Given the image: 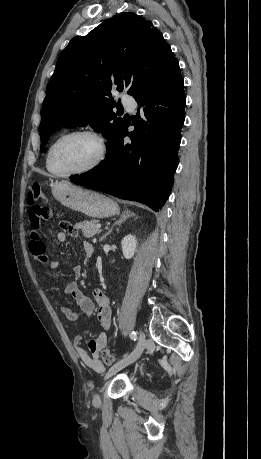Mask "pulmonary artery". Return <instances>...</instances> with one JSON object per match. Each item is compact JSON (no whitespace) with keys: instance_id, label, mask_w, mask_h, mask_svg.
I'll return each instance as SVG.
<instances>
[{"instance_id":"obj_1","label":"pulmonary artery","mask_w":261,"mask_h":459,"mask_svg":"<svg viewBox=\"0 0 261 459\" xmlns=\"http://www.w3.org/2000/svg\"><path fill=\"white\" fill-rule=\"evenodd\" d=\"M124 107L129 110V111H133L134 108L136 107V102L134 99L132 98H124L123 101H122Z\"/></svg>"}]
</instances>
